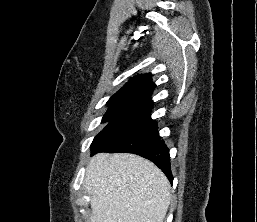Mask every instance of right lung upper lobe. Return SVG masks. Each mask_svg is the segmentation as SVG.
I'll list each match as a JSON object with an SVG mask.
<instances>
[{
  "mask_svg": "<svg viewBox=\"0 0 257 222\" xmlns=\"http://www.w3.org/2000/svg\"><path fill=\"white\" fill-rule=\"evenodd\" d=\"M155 86L151 80V74L135 76L116 92L108 102L138 100L152 103L151 94Z\"/></svg>",
  "mask_w": 257,
  "mask_h": 222,
  "instance_id": "right-lung-upper-lobe-1",
  "label": "right lung upper lobe"
}]
</instances>
